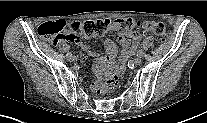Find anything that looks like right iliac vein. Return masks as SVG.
<instances>
[{
	"instance_id": "1",
	"label": "right iliac vein",
	"mask_w": 207,
	"mask_h": 123,
	"mask_svg": "<svg viewBox=\"0 0 207 123\" xmlns=\"http://www.w3.org/2000/svg\"><path fill=\"white\" fill-rule=\"evenodd\" d=\"M69 60L72 61V62H76L77 58L75 56H71Z\"/></svg>"
}]
</instances>
